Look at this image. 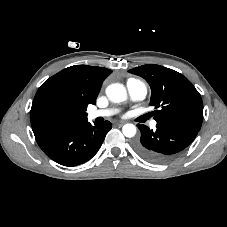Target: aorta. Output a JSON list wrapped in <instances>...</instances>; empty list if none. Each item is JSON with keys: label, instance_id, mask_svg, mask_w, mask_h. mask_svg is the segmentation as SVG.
I'll use <instances>...</instances> for the list:
<instances>
[{"label": "aorta", "instance_id": "aorta-1", "mask_svg": "<svg viewBox=\"0 0 227 227\" xmlns=\"http://www.w3.org/2000/svg\"><path fill=\"white\" fill-rule=\"evenodd\" d=\"M106 95H107L108 99L114 103L123 102L127 98V92H126L125 87L119 83H114V84L109 85L106 88ZM136 131H137L136 126L133 124H130V123L125 124L122 127V132H123L124 136H126L128 138L134 137L136 134Z\"/></svg>", "mask_w": 227, "mask_h": 227}]
</instances>
